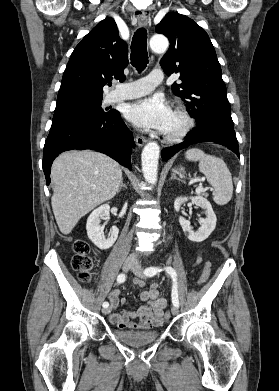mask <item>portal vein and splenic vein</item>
I'll return each mask as SVG.
<instances>
[{"mask_svg":"<svg viewBox=\"0 0 279 391\" xmlns=\"http://www.w3.org/2000/svg\"><path fill=\"white\" fill-rule=\"evenodd\" d=\"M203 191H204V188L202 187V184H200L199 187L196 188V193L200 194Z\"/></svg>","mask_w":279,"mask_h":391,"instance_id":"portal-vein-and-splenic-vein-1","label":"portal vein and splenic vein"}]
</instances>
